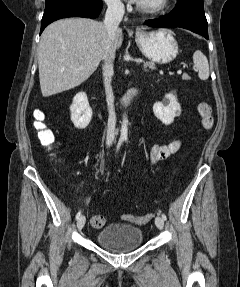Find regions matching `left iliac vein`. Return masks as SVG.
Instances as JSON below:
<instances>
[{
    "label": "left iliac vein",
    "mask_w": 240,
    "mask_h": 287,
    "mask_svg": "<svg viewBox=\"0 0 240 287\" xmlns=\"http://www.w3.org/2000/svg\"><path fill=\"white\" fill-rule=\"evenodd\" d=\"M155 224H156L157 228L162 229L163 226H164L163 218L160 217V216H157L156 219H155Z\"/></svg>",
    "instance_id": "obj_1"
}]
</instances>
